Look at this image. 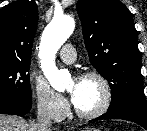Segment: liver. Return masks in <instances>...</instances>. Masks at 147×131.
Instances as JSON below:
<instances>
[{
    "label": "liver",
    "mask_w": 147,
    "mask_h": 131,
    "mask_svg": "<svg viewBox=\"0 0 147 131\" xmlns=\"http://www.w3.org/2000/svg\"><path fill=\"white\" fill-rule=\"evenodd\" d=\"M0 131H40L37 123H28L23 118L0 114ZM47 131H50L49 129Z\"/></svg>",
    "instance_id": "6515ba94"
}]
</instances>
